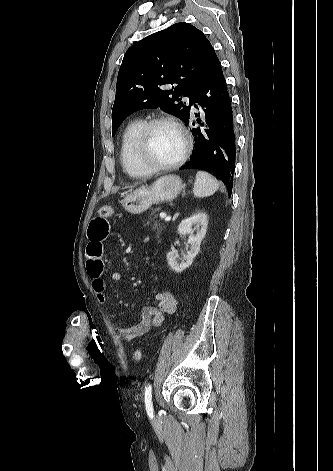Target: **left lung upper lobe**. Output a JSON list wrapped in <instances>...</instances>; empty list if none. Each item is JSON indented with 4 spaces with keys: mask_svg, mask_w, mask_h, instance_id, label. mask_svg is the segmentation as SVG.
I'll use <instances>...</instances> for the list:
<instances>
[{
    "mask_svg": "<svg viewBox=\"0 0 333 471\" xmlns=\"http://www.w3.org/2000/svg\"><path fill=\"white\" fill-rule=\"evenodd\" d=\"M215 58V51L206 36L183 22L131 46L124 55L117 77L112 134L126 117L146 108H160L187 124L197 89ZM169 84L174 87L168 89ZM182 96L189 97V104L181 101Z\"/></svg>",
    "mask_w": 333,
    "mask_h": 471,
    "instance_id": "1",
    "label": "left lung upper lobe"
}]
</instances>
